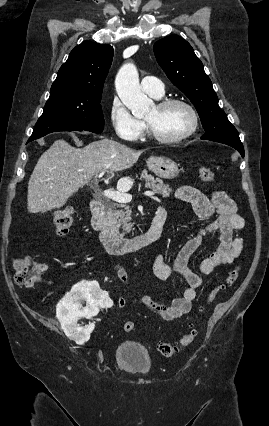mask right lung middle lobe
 I'll return each mask as SVG.
<instances>
[{
    "label": "right lung middle lobe",
    "mask_w": 269,
    "mask_h": 426,
    "mask_svg": "<svg viewBox=\"0 0 269 426\" xmlns=\"http://www.w3.org/2000/svg\"><path fill=\"white\" fill-rule=\"evenodd\" d=\"M100 102L101 95L64 91L50 94L29 141L58 131L102 132L105 122Z\"/></svg>",
    "instance_id": "1"
}]
</instances>
